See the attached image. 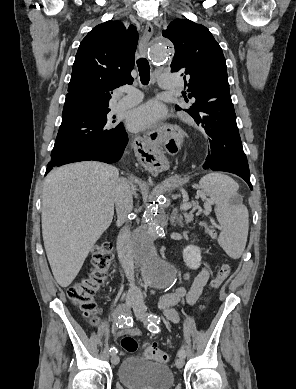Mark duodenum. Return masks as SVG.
Listing matches in <instances>:
<instances>
[{"label": "duodenum", "instance_id": "duodenum-1", "mask_svg": "<svg viewBox=\"0 0 296 389\" xmlns=\"http://www.w3.org/2000/svg\"><path fill=\"white\" fill-rule=\"evenodd\" d=\"M118 254L119 257L124 260L129 254V245L125 238L120 239L118 242Z\"/></svg>", "mask_w": 296, "mask_h": 389}]
</instances>
